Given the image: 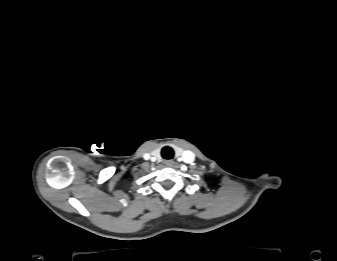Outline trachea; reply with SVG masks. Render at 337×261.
<instances>
[{"label": "trachea", "instance_id": "obj_1", "mask_svg": "<svg viewBox=\"0 0 337 261\" xmlns=\"http://www.w3.org/2000/svg\"><path fill=\"white\" fill-rule=\"evenodd\" d=\"M161 155L164 159H172L174 156V150L171 147H164L161 151Z\"/></svg>", "mask_w": 337, "mask_h": 261}]
</instances>
